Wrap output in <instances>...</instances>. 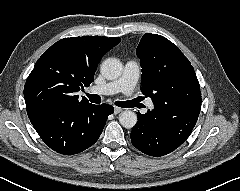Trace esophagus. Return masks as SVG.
I'll return each instance as SVG.
<instances>
[{
	"instance_id": "obj_1",
	"label": "esophagus",
	"mask_w": 240,
	"mask_h": 191,
	"mask_svg": "<svg viewBox=\"0 0 240 191\" xmlns=\"http://www.w3.org/2000/svg\"><path fill=\"white\" fill-rule=\"evenodd\" d=\"M122 111V108H120V107H114V114H118V113H120Z\"/></svg>"
}]
</instances>
